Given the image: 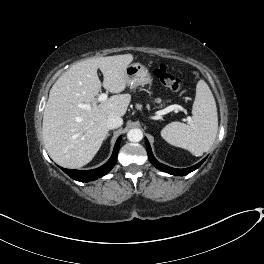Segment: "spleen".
<instances>
[{"mask_svg":"<svg viewBox=\"0 0 264 264\" xmlns=\"http://www.w3.org/2000/svg\"><path fill=\"white\" fill-rule=\"evenodd\" d=\"M218 130L217 107L214 96L204 80L196 85V96L189 125L171 122L162 131L169 144L186 149L194 156H202L212 147Z\"/></svg>","mask_w":264,"mask_h":264,"instance_id":"obj_1","label":"spleen"}]
</instances>
